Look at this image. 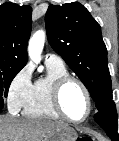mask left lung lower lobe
I'll return each mask as SVG.
<instances>
[{"instance_id": "0a47b994", "label": "left lung lower lobe", "mask_w": 119, "mask_h": 141, "mask_svg": "<svg viewBox=\"0 0 119 141\" xmlns=\"http://www.w3.org/2000/svg\"><path fill=\"white\" fill-rule=\"evenodd\" d=\"M94 120L98 123L111 138L112 141H119L117 133V112L114 102L103 107L95 114Z\"/></svg>"}]
</instances>
